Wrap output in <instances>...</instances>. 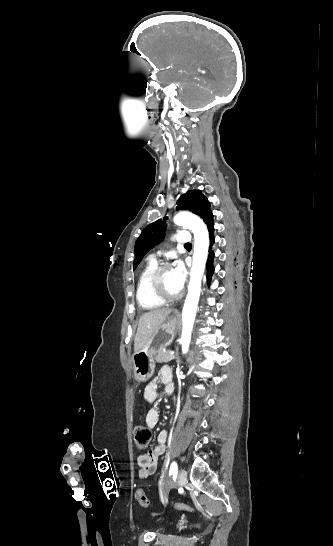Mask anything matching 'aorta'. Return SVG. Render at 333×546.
<instances>
[{"label":"aorta","mask_w":333,"mask_h":546,"mask_svg":"<svg viewBox=\"0 0 333 546\" xmlns=\"http://www.w3.org/2000/svg\"><path fill=\"white\" fill-rule=\"evenodd\" d=\"M173 221L177 226L191 229L195 237L193 265L190 273L188 294L182 311V335L180 343L182 352L185 354L189 349L191 333L200 297L201 280L208 255L209 236L204 222L192 213L180 212L174 216Z\"/></svg>","instance_id":"1"}]
</instances>
